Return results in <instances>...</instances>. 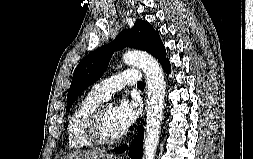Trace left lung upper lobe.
<instances>
[{"label":"left lung upper lobe","mask_w":253,"mask_h":159,"mask_svg":"<svg viewBox=\"0 0 253 159\" xmlns=\"http://www.w3.org/2000/svg\"><path fill=\"white\" fill-rule=\"evenodd\" d=\"M125 47L144 50L163 64L166 58L165 47L157 31L146 21L137 20L132 29H125L115 40L87 55L76 67L67 95L69 111L76 98L106 71L114 51Z\"/></svg>","instance_id":"1"}]
</instances>
